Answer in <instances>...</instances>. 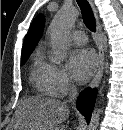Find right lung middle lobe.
I'll use <instances>...</instances> for the list:
<instances>
[{"mask_svg": "<svg viewBox=\"0 0 123 130\" xmlns=\"http://www.w3.org/2000/svg\"><path fill=\"white\" fill-rule=\"evenodd\" d=\"M29 55H26V56H22L21 57V65H24L28 59Z\"/></svg>", "mask_w": 123, "mask_h": 130, "instance_id": "dd1d6c3e", "label": "right lung middle lobe"}]
</instances>
